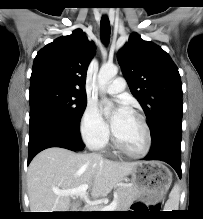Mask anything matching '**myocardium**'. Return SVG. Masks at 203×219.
Wrapping results in <instances>:
<instances>
[{
    "mask_svg": "<svg viewBox=\"0 0 203 219\" xmlns=\"http://www.w3.org/2000/svg\"><path fill=\"white\" fill-rule=\"evenodd\" d=\"M130 113L133 114L135 117H137L140 120V122L144 128L145 144H144L143 149L139 152H133V151L128 150L127 148H125L121 144V142L118 140V138L116 137L113 130H112V141H113V144L116 147V149H118L124 155L131 157V158H136V159L144 158L149 154L151 146H152L151 130H150V127L146 121V118L141 113H139L138 111H135V110H131Z\"/></svg>",
    "mask_w": 203,
    "mask_h": 219,
    "instance_id": "obj_1",
    "label": "myocardium"
}]
</instances>
